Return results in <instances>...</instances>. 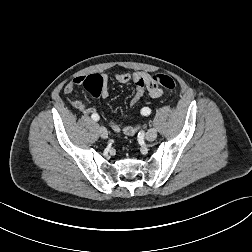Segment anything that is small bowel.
Returning a JSON list of instances; mask_svg holds the SVG:
<instances>
[{
	"label": "small bowel",
	"instance_id": "c3829d8e",
	"mask_svg": "<svg viewBox=\"0 0 252 252\" xmlns=\"http://www.w3.org/2000/svg\"><path fill=\"white\" fill-rule=\"evenodd\" d=\"M114 77L120 83L137 84V82L139 80H142L144 82L150 96L153 99H159L163 94L162 89L158 86V84H156L154 82V80L152 79V77L148 73H145V72H136L133 74L115 73ZM85 78H86L85 76H77L73 80L68 82L64 86V89H63L64 94L71 95L74 92V88L76 86L83 84V81ZM102 96L103 97L108 96L107 89L102 93ZM69 103L73 108H75L76 110H78L79 112H81L84 115H92V114L96 113V110L93 107L86 105L83 101H81L79 99H74V100L69 99ZM109 124L115 132H122L125 135H129V136L133 135L139 128L138 126L121 127L114 120H110Z\"/></svg>",
	"mask_w": 252,
	"mask_h": 252
}]
</instances>
